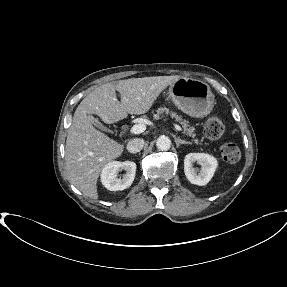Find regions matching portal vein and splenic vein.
Here are the masks:
<instances>
[{
    "label": "portal vein and splenic vein",
    "instance_id": "obj_1",
    "mask_svg": "<svg viewBox=\"0 0 287 287\" xmlns=\"http://www.w3.org/2000/svg\"><path fill=\"white\" fill-rule=\"evenodd\" d=\"M175 129L178 130V131H182V128L177 125V124H173ZM146 130V125L144 123H140V124H135L132 126L130 132L132 134H140L142 132H144Z\"/></svg>",
    "mask_w": 287,
    "mask_h": 287
}]
</instances>
